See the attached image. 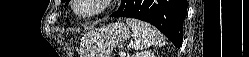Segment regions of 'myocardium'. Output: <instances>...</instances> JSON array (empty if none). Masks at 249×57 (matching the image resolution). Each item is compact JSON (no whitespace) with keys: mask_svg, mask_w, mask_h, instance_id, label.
Masks as SVG:
<instances>
[{"mask_svg":"<svg viewBox=\"0 0 249 57\" xmlns=\"http://www.w3.org/2000/svg\"><path fill=\"white\" fill-rule=\"evenodd\" d=\"M83 1L84 0H73L71 3V9L74 15L77 16L78 18H83V19L91 18L104 13L111 7L112 3L114 2L113 0H95L97 3V7L93 11L85 13L79 11L78 9L79 6L83 3Z\"/></svg>","mask_w":249,"mask_h":57,"instance_id":"f54148a6","label":"myocardium"}]
</instances>
